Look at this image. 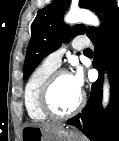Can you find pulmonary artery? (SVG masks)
Returning <instances> with one entry per match:
<instances>
[{"label": "pulmonary artery", "mask_w": 119, "mask_h": 141, "mask_svg": "<svg viewBox=\"0 0 119 141\" xmlns=\"http://www.w3.org/2000/svg\"><path fill=\"white\" fill-rule=\"evenodd\" d=\"M89 46V41L87 40H75L72 44V47L76 50H80V49H83V48H86ZM65 47H62L60 49H58L57 51L49 54L46 59H45V62L50 65V66H53L55 68L59 67L60 64H61V60H62V57H63V54L65 52Z\"/></svg>", "instance_id": "obj_1"}]
</instances>
